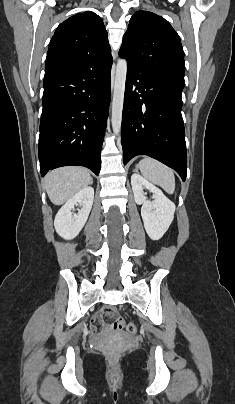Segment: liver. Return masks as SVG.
Here are the masks:
<instances>
[{
    "instance_id": "6515ba94",
    "label": "liver",
    "mask_w": 235,
    "mask_h": 404,
    "mask_svg": "<svg viewBox=\"0 0 235 404\" xmlns=\"http://www.w3.org/2000/svg\"><path fill=\"white\" fill-rule=\"evenodd\" d=\"M92 181L83 167L69 166L50 171L44 178V187L50 201L62 205Z\"/></svg>"
}]
</instances>
